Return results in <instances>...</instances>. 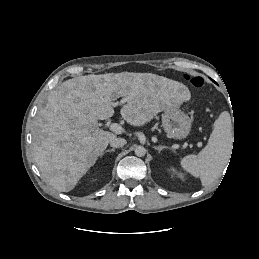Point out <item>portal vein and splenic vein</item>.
I'll use <instances>...</instances> for the list:
<instances>
[{
    "label": "portal vein and splenic vein",
    "mask_w": 259,
    "mask_h": 259,
    "mask_svg": "<svg viewBox=\"0 0 259 259\" xmlns=\"http://www.w3.org/2000/svg\"><path fill=\"white\" fill-rule=\"evenodd\" d=\"M127 100H128L127 98H123L119 103H115V105L124 104L125 102H127ZM110 130L116 134H122L124 129L122 128L121 125L117 123H112L110 125Z\"/></svg>",
    "instance_id": "1"
}]
</instances>
